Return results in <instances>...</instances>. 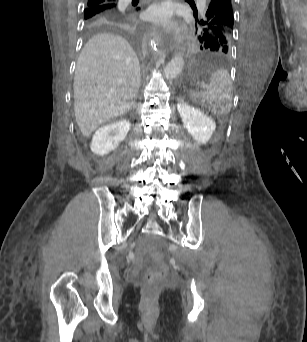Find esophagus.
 <instances>
[{
	"mask_svg": "<svg viewBox=\"0 0 307 342\" xmlns=\"http://www.w3.org/2000/svg\"><path fill=\"white\" fill-rule=\"evenodd\" d=\"M154 40H155V43L158 47L160 48H164L165 45H164V38H163V35L161 32H155L154 34Z\"/></svg>",
	"mask_w": 307,
	"mask_h": 342,
	"instance_id": "esophagus-1",
	"label": "esophagus"
}]
</instances>
